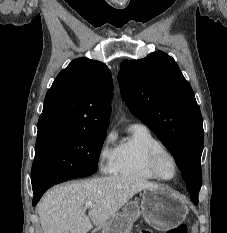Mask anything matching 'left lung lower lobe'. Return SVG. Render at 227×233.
Segmentation results:
<instances>
[{
    "label": "left lung lower lobe",
    "mask_w": 227,
    "mask_h": 233,
    "mask_svg": "<svg viewBox=\"0 0 227 233\" xmlns=\"http://www.w3.org/2000/svg\"><path fill=\"white\" fill-rule=\"evenodd\" d=\"M195 204H197L198 202H195V201H193Z\"/></svg>",
    "instance_id": "obj_1"
}]
</instances>
